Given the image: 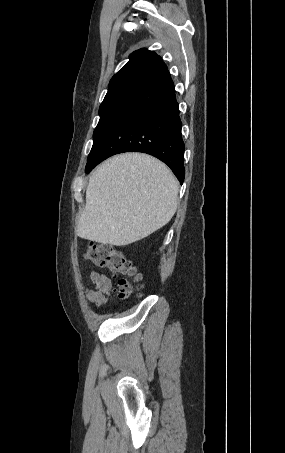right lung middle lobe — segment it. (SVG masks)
Here are the masks:
<instances>
[{"instance_id": "dd1d6c3e", "label": "right lung middle lobe", "mask_w": 285, "mask_h": 453, "mask_svg": "<svg viewBox=\"0 0 285 453\" xmlns=\"http://www.w3.org/2000/svg\"><path fill=\"white\" fill-rule=\"evenodd\" d=\"M129 97L130 95L117 97L115 99L104 102L100 105L99 108L100 120L93 133V146L87 158L86 166H88L92 161L95 152L100 146L106 131L112 124L120 108L124 105V103L128 100Z\"/></svg>"}]
</instances>
